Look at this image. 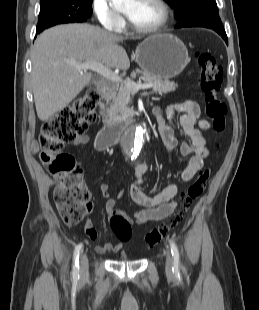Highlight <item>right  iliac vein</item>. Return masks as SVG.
<instances>
[{
  "instance_id": "right-iliac-vein-1",
  "label": "right iliac vein",
  "mask_w": 259,
  "mask_h": 310,
  "mask_svg": "<svg viewBox=\"0 0 259 310\" xmlns=\"http://www.w3.org/2000/svg\"><path fill=\"white\" fill-rule=\"evenodd\" d=\"M89 269H88V257L84 253L80 258V279L85 280L88 277Z\"/></svg>"
}]
</instances>
